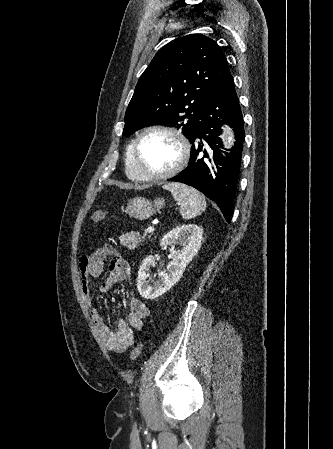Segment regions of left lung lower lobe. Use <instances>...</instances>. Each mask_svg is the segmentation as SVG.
<instances>
[{
    "mask_svg": "<svg viewBox=\"0 0 333 449\" xmlns=\"http://www.w3.org/2000/svg\"><path fill=\"white\" fill-rule=\"evenodd\" d=\"M223 124L230 125L234 131L236 141L234 146L228 149L230 152L221 150L223 144L219 135ZM201 138L210 146L212 152L203 150V143L198 141ZM244 138L243 116L231 76L215 92L201 114L195 134L190 141L192 152L188 167L169 181L185 183L204 193L217 203L227 222H230ZM201 151L203 155L200 154ZM212 161L221 166L217 167L215 177L210 174L207 166V163Z\"/></svg>",
    "mask_w": 333,
    "mask_h": 449,
    "instance_id": "1",
    "label": "left lung lower lobe"
}]
</instances>
